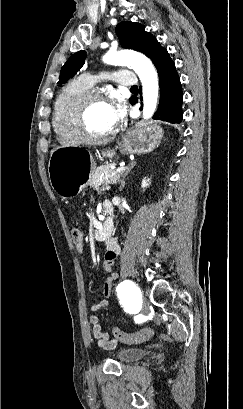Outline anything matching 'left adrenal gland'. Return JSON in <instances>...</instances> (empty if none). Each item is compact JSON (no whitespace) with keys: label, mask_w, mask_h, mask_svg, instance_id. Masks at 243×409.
Masks as SVG:
<instances>
[{"label":"left adrenal gland","mask_w":243,"mask_h":409,"mask_svg":"<svg viewBox=\"0 0 243 409\" xmlns=\"http://www.w3.org/2000/svg\"><path fill=\"white\" fill-rule=\"evenodd\" d=\"M136 162H132L129 167L126 169L125 174L123 175L122 179L120 180V187L119 190L122 191L125 186V178L130 173V171L134 168Z\"/></svg>","instance_id":"a2214340"}]
</instances>
